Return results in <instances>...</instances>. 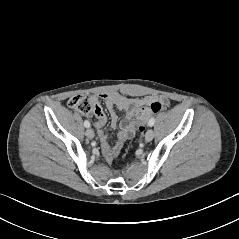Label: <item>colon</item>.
I'll list each match as a JSON object with an SVG mask.
<instances>
[{"mask_svg": "<svg viewBox=\"0 0 239 239\" xmlns=\"http://www.w3.org/2000/svg\"><path fill=\"white\" fill-rule=\"evenodd\" d=\"M68 104L72 109L84 114L90 113L94 109L91 99L85 95L71 97ZM161 109L162 104L159 101H152L149 104L140 107L136 113V121L139 129L143 128L151 114L158 113Z\"/></svg>", "mask_w": 239, "mask_h": 239, "instance_id": "5ec220e1", "label": "colon"}]
</instances>
